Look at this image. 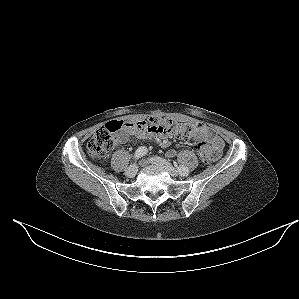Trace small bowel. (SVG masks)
<instances>
[{
    "label": "small bowel",
    "instance_id": "small-bowel-1",
    "mask_svg": "<svg viewBox=\"0 0 299 299\" xmlns=\"http://www.w3.org/2000/svg\"><path fill=\"white\" fill-rule=\"evenodd\" d=\"M129 131L138 138H153L162 147H167L169 145V141L166 138L168 134L148 129L140 130L137 128H130ZM190 139L197 143L200 141L206 142L205 144L210 161H214L220 157L224 142L220 136L208 127L198 124L196 130L191 134ZM126 140L127 136L124 134L118 142L123 143ZM167 156L174 157L175 151L169 150Z\"/></svg>",
    "mask_w": 299,
    "mask_h": 299
}]
</instances>
